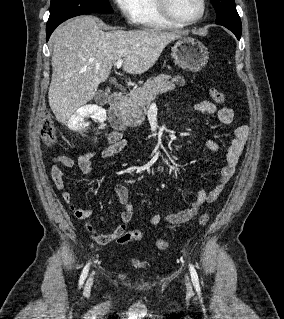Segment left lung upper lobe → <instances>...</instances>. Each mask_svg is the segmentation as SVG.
<instances>
[{
    "label": "left lung upper lobe",
    "instance_id": "5c2ea615",
    "mask_svg": "<svg viewBox=\"0 0 284 319\" xmlns=\"http://www.w3.org/2000/svg\"><path fill=\"white\" fill-rule=\"evenodd\" d=\"M217 14L216 24L242 29L234 0H211Z\"/></svg>",
    "mask_w": 284,
    "mask_h": 319
}]
</instances>
